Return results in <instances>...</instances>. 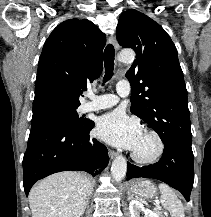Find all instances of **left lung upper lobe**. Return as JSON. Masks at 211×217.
<instances>
[{
    "label": "left lung upper lobe",
    "instance_id": "obj_1",
    "mask_svg": "<svg viewBox=\"0 0 211 217\" xmlns=\"http://www.w3.org/2000/svg\"><path fill=\"white\" fill-rule=\"evenodd\" d=\"M117 40L136 59L126 73L132 84L131 112L148 123L162 141H192L187 90L174 43L145 14L130 9L120 15Z\"/></svg>",
    "mask_w": 211,
    "mask_h": 217
}]
</instances>
